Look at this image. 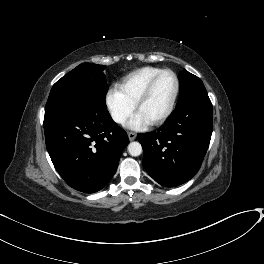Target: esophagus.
<instances>
[{"label": "esophagus", "instance_id": "34e87169", "mask_svg": "<svg viewBox=\"0 0 264 264\" xmlns=\"http://www.w3.org/2000/svg\"><path fill=\"white\" fill-rule=\"evenodd\" d=\"M137 134L135 132H128V138L130 141H133L136 138Z\"/></svg>", "mask_w": 264, "mask_h": 264}]
</instances>
